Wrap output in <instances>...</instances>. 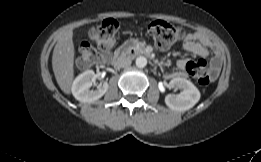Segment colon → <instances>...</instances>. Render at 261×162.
Listing matches in <instances>:
<instances>
[{"label": "colon", "mask_w": 261, "mask_h": 162, "mask_svg": "<svg viewBox=\"0 0 261 162\" xmlns=\"http://www.w3.org/2000/svg\"><path fill=\"white\" fill-rule=\"evenodd\" d=\"M118 31V23L109 19L101 24L93 26L89 30V38L95 42L100 50L110 48L115 40ZM149 32L154 38L158 47H167L177 41L180 37V30L176 26L164 21H154L149 26ZM99 55L96 48L90 43H83L81 46L80 63L84 67L93 66ZM189 69L194 70L199 84L207 85L211 81V76L205 71L200 63H190Z\"/></svg>", "instance_id": "1"}]
</instances>
